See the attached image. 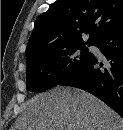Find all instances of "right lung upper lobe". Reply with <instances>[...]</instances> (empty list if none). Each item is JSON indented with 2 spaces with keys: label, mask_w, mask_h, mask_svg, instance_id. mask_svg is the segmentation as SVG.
Instances as JSON below:
<instances>
[{
  "label": "right lung upper lobe",
  "mask_w": 123,
  "mask_h": 130,
  "mask_svg": "<svg viewBox=\"0 0 123 130\" xmlns=\"http://www.w3.org/2000/svg\"><path fill=\"white\" fill-rule=\"evenodd\" d=\"M123 26V0H57L35 21L26 48V61L84 44Z\"/></svg>",
  "instance_id": "obj_1"
}]
</instances>
